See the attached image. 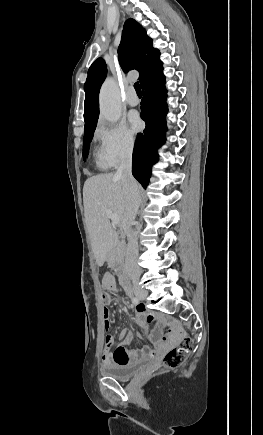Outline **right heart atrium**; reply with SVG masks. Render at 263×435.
I'll use <instances>...</instances> for the list:
<instances>
[{
	"instance_id": "d8ad5b80",
	"label": "right heart atrium",
	"mask_w": 263,
	"mask_h": 435,
	"mask_svg": "<svg viewBox=\"0 0 263 435\" xmlns=\"http://www.w3.org/2000/svg\"><path fill=\"white\" fill-rule=\"evenodd\" d=\"M95 134L102 155L110 166H117L132 155L135 138L124 122L107 124L100 121Z\"/></svg>"
}]
</instances>
